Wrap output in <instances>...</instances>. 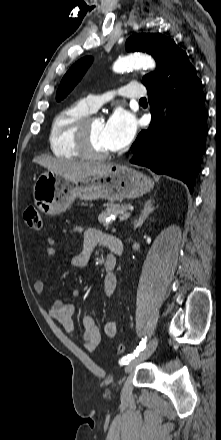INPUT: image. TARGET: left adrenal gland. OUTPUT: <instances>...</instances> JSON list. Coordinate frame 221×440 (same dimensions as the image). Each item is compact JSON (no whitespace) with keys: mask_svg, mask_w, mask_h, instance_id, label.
<instances>
[{"mask_svg":"<svg viewBox=\"0 0 221 440\" xmlns=\"http://www.w3.org/2000/svg\"><path fill=\"white\" fill-rule=\"evenodd\" d=\"M155 201L153 199H149L145 202L143 209L141 210L140 217L138 220H135L134 224L135 227H141L144 221L148 218V216L154 211L155 207L153 206V203Z\"/></svg>","mask_w":221,"mask_h":440,"instance_id":"left-adrenal-gland-1","label":"left adrenal gland"}]
</instances>
